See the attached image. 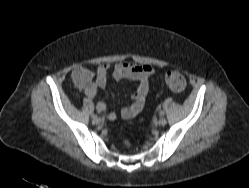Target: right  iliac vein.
<instances>
[{
  "label": "right iliac vein",
  "mask_w": 249,
  "mask_h": 188,
  "mask_svg": "<svg viewBox=\"0 0 249 188\" xmlns=\"http://www.w3.org/2000/svg\"><path fill=\"white\" fill-rule=\"evenodd\" d=\"M100 121H101V120H100V118H98V117H95V118L92 119V122H93V124H95V125L99 124Z\"/></svg>",
  "instance_id": "obj_1"
}]
</instances>
